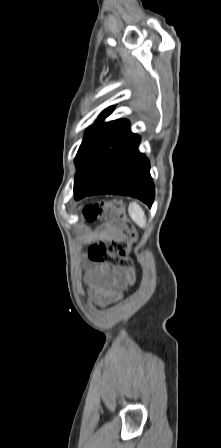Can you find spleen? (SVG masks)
I'll list each match as a JSON object with an SVG mask.
<instances>
[{
    "instance_id": "obj_1",
    "label": "spleen",
    "mask_w": 221,
    "mask_h": 448,
    "mask_svg": "<svg viewBox=\"0 0 221 448\" xmlns=\"http://www.w3.org/2000/svg\"><path fill=\"white\" fill-rule=\"evenodd\" d=\"M128 213L131 219L141 228L146 227V216L144 210L136 202H131L128 207Z\"/></svg>"
}]
</instances>
